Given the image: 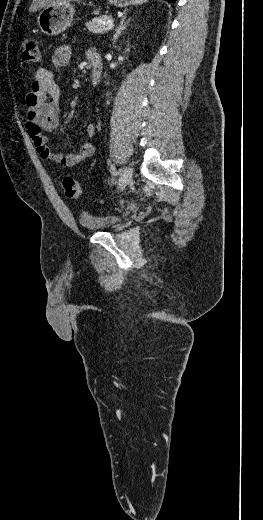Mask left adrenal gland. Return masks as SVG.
Here are the masks:
<instances>
[{
    "mask_svg": "<svg viewBox=\"0 0 263 520\" xmlns=\"http://www.w3.org/2000/svg\"><path fill=\"white\" fill-rule=\"evenodd\" d=\"M126 17H127V14H125L122 19H121V22L120 24L118 25V27L116 28L115 30V33L113 35V44L117 41L118 37L120 36V34L122 33V31L126 28V26L128 25L129 20L125 21L126 20Z\"/></svg>",
    "mask_w": 263,
    "mask_h": 520,
    "instance_id": "left-adrenal-gland-1",
    "label": "left adrenal gland"
}]
</instances>
